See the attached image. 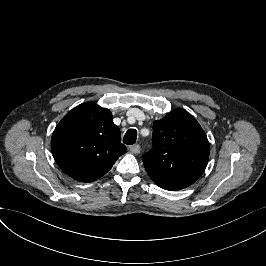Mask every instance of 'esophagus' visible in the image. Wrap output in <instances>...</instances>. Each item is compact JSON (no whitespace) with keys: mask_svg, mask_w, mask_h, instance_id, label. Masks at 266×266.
I'll use <instances>...</instances> for the list:
<instances>
[{"mask_svg":"<svg viewBox=\"0 0 266 266\" xmlns=\"http://www.w3.org/2000/svg\"><path fill=\"white\" fill-rule=\"evenodd\" d=\"M129 150L134 154L140 153V146L138 144L129 147Z\"/></svg>","mask_w":266,"mask_h":266,"instance_id":"34e87169","label":"esophagus"}]
</instances>
